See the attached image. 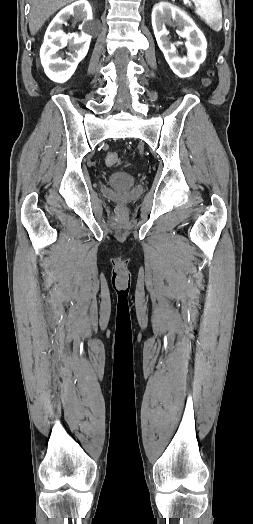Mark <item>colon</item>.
I'll list each match as a JSON object with an SVG mask.
<instances>
[{
	"instance_id": "obj_1",
	"label": "colon",
	"mask_w": 253,
	"mask_h": 524,
	"mask_svg": "<svg viewBox=\"0 0 253 524\" xmlns=\"http://www.w3.org/2000/svg\"><path fill=\"white\" fill-rule=\"evenodd\" d=\"M211 83L210 79L204 81V85L208 86ZM105 163L109 167H115L121 164L120 156L117 152H109L105 157Z\"/></svg>"
}]
</instances>
